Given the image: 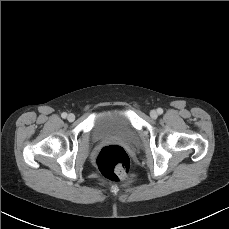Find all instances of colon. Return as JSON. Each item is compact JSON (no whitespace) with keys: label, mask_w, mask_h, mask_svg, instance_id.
<instances>
[{"label":"colon","mask_w":229,"mask_h":229,"mask_svg":"<svg viewBox=\"0 0 229 229\" xmlns=\"http://www.w3.org/2000/svg\"><path fill=\"white\" fill-rule=\"evenodd\" d=\"M97 166L107 178H120L129 169L130 159L124 148L118 145L103 147L97 155Z\"/></svg>","instance_id":"1"}]
</instances>
